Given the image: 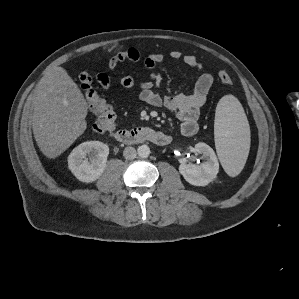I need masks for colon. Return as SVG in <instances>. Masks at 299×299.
I'll use <instances>...</instances> for the list:
<instances>
[{
	"instance_id": "colon-1",
	"label": "colon",
	"mask_w": 299,
	"mask_h": 299,
	"mask_svg": "<svg viewBox=\"0 0 299 299\" xmlns=\"http://www.w3.org/2000/svg\"><path fill=\"white\" fill-rule=\"evenodd\" d=\"M220 81L225 85H232V78L228 72L222 70L218 73ZM79 83L85 99L96 116L93 130L98 134L111 133L116 124L117 113L113 106L100 96L92 85V76L88 72L79 75Z\"/></svg>"
}]
</instances>
